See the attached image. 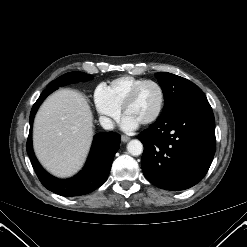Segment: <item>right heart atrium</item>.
I'll use <instances>...</instances> for the list:
<instances>
[{"label":"right heart atrium","instance_id":"d8ad5b80","mask_svg":"<svg viewBox=\"0 0 247 247\" xmlns=\"http://www.w3.org/2000/svg\"><path fill=\"white\" fill-rule=\"evenodd\" d=\"M94 103L97 112L106 124L111 125L119 118L121 109L112 101L105 86L100 85L95 89Z\"/></svg>","mask_w":247,"mask_h":247}]
</instances>
